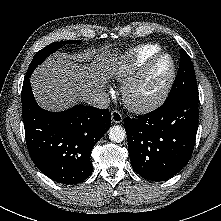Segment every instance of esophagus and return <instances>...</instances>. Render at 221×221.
I'll return each mask as SVG.
<instances>
[{
    "instance_id": "34e87169",
    "label": "esophagus",
    "mask_w": 221,
    "mask_h": 221,
    "mask_svg": "<svg viewBox=\"0 0 221 221\" xmlns=\"http://www.w3.org/2000/svg\"><path fill=\"white\" fill-rule=\"evenodd\" d=\"M111 119H112L113 122L118 124V123H121L123 121V116L119 111L114 110V111L111 112Z\"/></svg>"
}]
</instances>
